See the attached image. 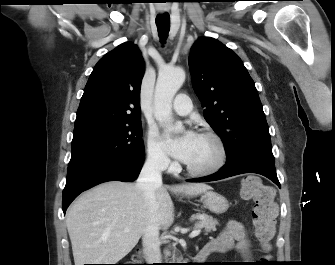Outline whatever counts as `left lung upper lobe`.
Returning <instances> with one entry per match:
<instances>
[{
	"mask_svg": "<svg viewBox=\"0 0 335 265\" xmlns=\"http://www.w3.org/2000/svg\"><path fill=\"white\" fill-rule=\"evenodd\" d=\"M189 69L204 117L224 143L226 163L247 158L275 163L262 104L241 59L205 37L191 48Z\"/></svg>",
	"mask_w": 335,
	"mask_h": 265,
	"instance_id": "obj_1",
	"label": "left lung upper lobe"
}]
</instances>
